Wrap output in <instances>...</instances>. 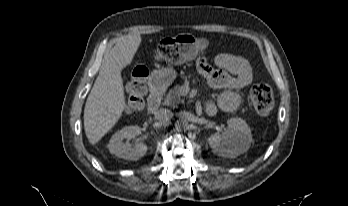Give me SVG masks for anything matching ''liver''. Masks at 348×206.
<instances>
[{"mask_svg": "<svg viewBox=\"0 0 348 206\" xmlns=\"http://www.w3.org/2000/svg\"><path fill=\"white\" fill-rule=\"evenodd\" d=\"M141 41L140 34L122 36L104 56L84 109V129L92 145L99 142L122 116L125 95L121 71L132 62Z\"/></svg>", "mask_w": 348, "mask_h": 206, "instance_id": "6515ba94", "label": "liver"}]
</instances>
